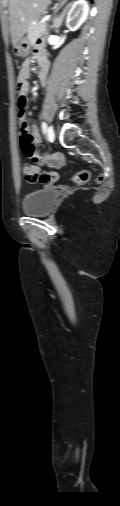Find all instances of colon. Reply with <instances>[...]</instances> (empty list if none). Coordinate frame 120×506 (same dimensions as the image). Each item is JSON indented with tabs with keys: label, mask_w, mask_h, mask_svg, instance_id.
<instances>
[{
	"label": "colon",
	"mask_w": 120,
	"mask_h": 506,
	"mask_svg": "<svg viewBox=\"0 0 120 506\" xmlns=\"http://www.w3.org/2000/svg\"><path fill=\"white\" fill-rule=\"evenodd\" d=\"M18 90V123L19 128L21 130V147L24 153L29 157H35L39 155V150L34 143L33 137L25 131L27 121L25 118V107L27 103L26 91L24 89L23 83H17ZM24 179L29 184H47L56 182L59 178L56 172H44L39 169V167L35 164H26L23 168ZM90 172L88 170H83L81 172L76 173L72 180L77 184L86 183L90 179ZM103 177L99 178V182H102Z\"/></svg>",
	"instance_id": "5ec220e1"
}]
</instances>
